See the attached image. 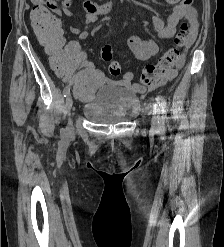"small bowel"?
I'll use <instances>...</instances> for the list:
<instances>
[{"label": "small bowel", "instance_id": "1", "mask_svg": "<svg viewBox=\"0 0 224 247\" xmlns=\"http://www.w3.org/2000/svg\"><path fill=\"white\" fill-rule=\"evenodd\" d=\"M46 0H32L36 6L45 5ZM169 4L173 5V10L165 22L159 16H152V25L155 31L158 33L161 39H169L176 33V27L180 20L185 19L189 22L190 28L188 31L187 41L185 44L186 50L192 45L197 35V19L196 11L192 7L193 0H166ZM60 16H80L83 18L84 23L82 27H70L71 33L78 36L80 39H84L88 35V29L93 25L97 19V13L89 12L74 13L67 9L65 6L58 7L55 10ZM128 46L139 60L146 61L155 57L159 52L158 44L149 38H143L138 34H133L128 39ZM184 55L180 57L176 64V67L163 75L158 81L152 83L149 86V90H155L168 82L172 81L178 73V69L183 65ZM134 74L132 72H126L122 78L117 82L119 85L127 88L134 94H144L146 87L137 83H133Z\"/></svg>", "mask_w": 224, "mask_h": 247}]
</instances>
